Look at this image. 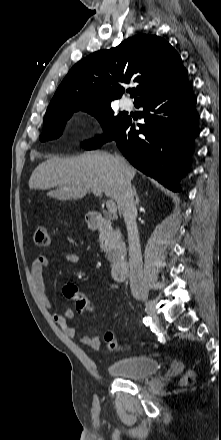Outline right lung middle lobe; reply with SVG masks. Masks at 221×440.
Returning <instances> with one entry per match:
<instances>
[{"mask_svg":"<svg viewBox=\"0 0 221 440\" xmlns=\"http://www.w3.org/2000/svg\"><path fill=\"white\" fill-rule=\"evenodd\" d=\"M78 110L86 111L95 116L104 130V134L99 140L84 143L83 146L85 149H95L109 141L126 120V118L122 116L114 115V111L110 104L97 107H89L83 104L70 105L46 111L43 122V132L40 136V140L44 142L58 138L62 134L67 120Z\"/></svg>","mask_w":221,"mask_h":440,"instance_id":"obj_1","label":"right lung middle lobe"}]
</instances>
